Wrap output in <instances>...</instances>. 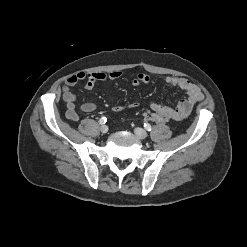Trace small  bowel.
Wrapping results in <instances>:
<instances>
[{
    "label": "small bowel",
    "mask_w": 247,
    "mask_h": 247,
    "mask_svg": "<svg viewBox=\"0 0 247 247\" xmlns=\"http://www.w3.org/2000/svg\"><path fill=\"white\" fill-rule=\"evenodd\" d=\"M123 76L121 71H113L110 73L103 72H91L84 73L79 72L77 74L68 77L62 87V97L66 104V117L69 120L77 121L79 119V113L76 108V96L72 92V87L79 82H84L87 89H93L97 82L106 80H115ZM168 85L178 87L186 94V98L181 100L175 108L165 106L159 103H152L151 109L153 112L164 115L167 119L179 121L189 116L194 105L203 98V94L198 86H196L189 79L182 77L166 76L164 79ZM151 82V77L145 73H139L131 81V84L138 87L142 84H148ZM138 106L137 102L128 103L126 105H114L112 110L115 112L122 111L127 108H135ZM97 108L93 102H86L79 106V110L84 113H90Z\"/></svg>",
    "instance_id": "c3829d8e"
}]
</instances>
